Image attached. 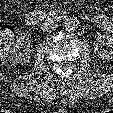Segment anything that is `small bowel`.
I'll return each mask as SVG.
<instances>
[{
    "mask_svg": "<svg viewBox=\"0 0 113 113\" xmlns=\"http://www.w3.org/2000/svg\"><path fill=\"white\" fill-rule=\"evenodd\" d=\"M91 19L98 27L113 35V17L103 14H95Z\"/></svg>",
    "mask_w": 113,
    "mask_h": 113,
    "instance_id": "1",
    "label": "small bowel"
}]
</instances>
